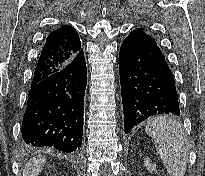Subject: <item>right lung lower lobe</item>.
<instances>
[{"instance_id":"98d812e1","label":"right lung lower lobe","mask_w":205,"mask_h":176,"mask_svg":"<svg viewBox=\"0 0 205 176\" xmlns=\"http://www.w3.org/2000/svg\"><path fill=\"white\" fill-rule=\"evenodd\" d=\"M86 83L82 50L58 72L31 85L21 128L28 149L80 150Z\"/></svg>"}]
</instances>
